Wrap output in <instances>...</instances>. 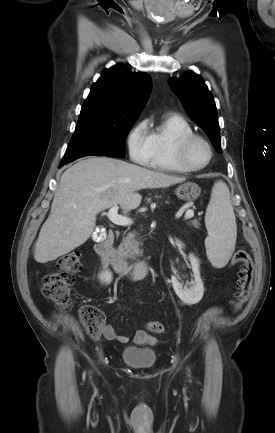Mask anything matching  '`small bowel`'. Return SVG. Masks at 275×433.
I'll return each mask as SVG.
<instances>
[{"label": "small bowel", "mask_w": 275, "mask_h": 433, "mask_svg": "<svg viewBox=\"0 0 275 433\" xmlns=\"http://www.w3.org/2000/svg\"><path fill=\"white\" fill-rule=\"evenodd\" d=\"M101 262L104 266H106L108 263L107 261L101 257ZM103 334L104 337L107 340H117L121 343H127L130 341L129 335H121L118 334L115 330V328L111 324H106L103 328ZM134 343L138 345H151L154 346L157 344V339L150 334H148L146 331L138 330L134 337H133Z\"/></svg>", "instance_id": "small-bowel-1"}]
</instances>
